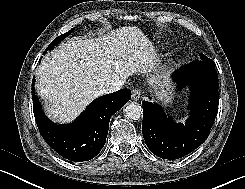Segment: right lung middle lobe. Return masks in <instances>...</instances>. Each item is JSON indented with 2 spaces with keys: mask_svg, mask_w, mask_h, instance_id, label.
<instances>
[{
  "mask_svg": "<svg viewBox=\"0 0 245 189\" xmlns=\"http://www.w3.org/2000/svg\"><path fill=\"white\" fill-rule=\"evenodd\" d=\"M74 30V28L72 29V30H70V31H68L67 33H65V34H62V35H60V36H58L49 46H48V48L46 49V51H48V50H52L55 46H57L59 43H60V41H62L65 37H67L72 31ZM46 51H45V53H46Z\"/></svg>",
  "mask_w": 245,
  "mask_h": 189,
  "instance_id": "obj_1",
  "label": "right lung middle lobe"
}]
</instances>
